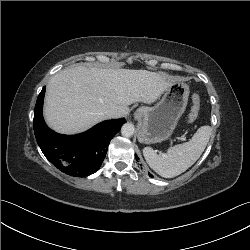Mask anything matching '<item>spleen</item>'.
<instances>
[{"instance_id": "1", "label": "spleen", "mask_w": 250, "mask_h": 250, "mask_svg": "<svg viewBox=\"0 0 250 250\" xmlns=\"http://www.w3.org/2000/svg\"><path fill=\"white\" fill-rule=\"evenodd\" d=\"M211 132L210 126H201L189 142L175 145L161 154H157L151 147H145L143 155L150 168L160 176H178L199 159L209 142Z\"/></svg>"}]
</instances>
